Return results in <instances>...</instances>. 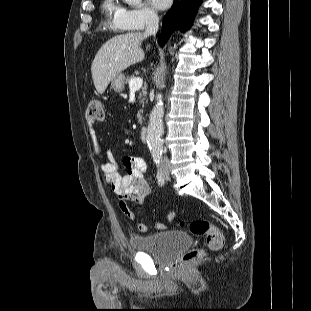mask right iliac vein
Here are the masks:
<instances>
[{"instance_id":"63e3f726","label":"right iliac vein","mask_w":311,"mask_h":311,"mask_svg":"<svg viewBox=\"0 0 311 311\" xmlns=\"http://www.w3.org/2000/svg\"><path fill=\"white\" fill-rule=\"evenodd\" d=\"M163 171L166 173L168 171V169L165 168Z\"/></svg>"}]
</instances>
